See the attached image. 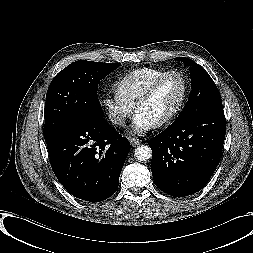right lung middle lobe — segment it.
I'll return each instance as SVG.
<instances>
[{
	"label": "right lung middle lobe",
	"mask_w": 253,
	"mask_h": 253,
	"mask_svg": "<svg viewBox=\"0 0 253 253\" xmlns=\"http://www.w3.org/2000/svg\"><path fill=\"white\" fill-rule=\"evenodd\" d=\"M120 65L80 60L60 71L46 94L45 140L80 117L104 119L98 83Z\"/></svg>",
	"instance_id": "obj_1"
}]
</instances>
